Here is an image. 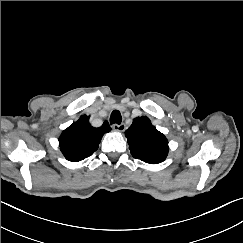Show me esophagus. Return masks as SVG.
<instances>
[{"mask_svg": "<svg viewBox=\"0 0 243 243\" xmlns=\"http://www.w3.org/2000/svg\"><path fill=\"white\" fill-rule=\"evenodd\" d=\"M112 128L116 131L123 132L125 130V124H113Z\"/></svg>", "mask_w": 243, "mask_h": 243, "instance_id": "obj_1", "label": "esophagus"}]
</instances>
